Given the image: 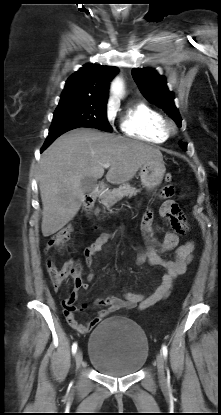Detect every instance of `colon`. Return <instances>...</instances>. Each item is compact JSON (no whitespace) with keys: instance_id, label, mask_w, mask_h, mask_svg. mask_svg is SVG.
<instances>
[{"instance_id":"1","label":"colon","mask_w":221,"mask_h":415,"mask_svg":"<svg viewBox=\"0 0 221 415\" xmlns=\"http://www.w3.org/2000/svg\"><path fill=\"white\" fill-rule=\"evenodd\" d=\"M165 181L167 183L172 181V175L167 173L165 175ZM72 232L70 226H66L53 234L49 239L47 250L53 251L67 241ZM47 272L49 274L51 284L55 290L59 289L63 282L68 278L73 279L74 286L81 282V272L77 263L73 260H69L62 267H56L51 259L47 261Z\"/></svg>"}]
</instances>
